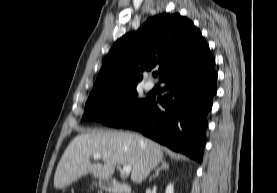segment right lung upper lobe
<instances>
[{
  "instance_id": "1",
  "label": "right lung upper lobe",
  "mask_w": 277,
  "mask_h": 193,
  "mask_svg": "<svg viewBox=\"0 0 277 193\" xmlns=\"http://www.w3.org/2000/svg\"><path fill=\"white\" fill-rule=\"evenodd\" d=\"M193 22L159 14L117 40L107 54L90 94L136 86L142 73L159 65V79L198 58L207 49Z\"/></svg>"
}]
</instances>
